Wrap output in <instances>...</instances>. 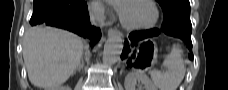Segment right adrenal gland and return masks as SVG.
Here are the masks:
<instances>
[{"label": "right adrenal gland", "instance_id": "1", "mask_svg": "<svg viewBox=\"0 0 228 90\" xmlns=\"http://www.w3.org/2000/svg\"><path fill=\"white\" fill-rule=\"evenodd\" d=\"M84 66V62H82L81 64H79V66L74 70V72L72 73V75H74L76 73V71L80 72L82 70Z\"/></svg>", "mask_w": 228, "mask_h": 90}]
</instances>
